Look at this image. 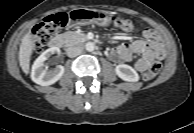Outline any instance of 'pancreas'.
<instances>
[{
    "instance_id": "cf45deb5",
    "label": "pancreas",
    "mask_w": 194,
    "mask_h": 133,
    "mask_svg": "<svg viewBox=\"0 0 194 133\" xmlns=\"http://www.w3.org/2000/svg\"><path fill=\"white\" fill-rule=\"evenodd\" d=\"M62 36L67 45H75L86 40L85 34L74 31L65 32Z\"/></svg>"
}]
</instances>
